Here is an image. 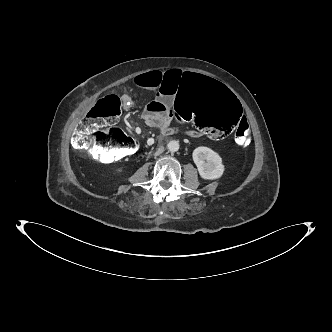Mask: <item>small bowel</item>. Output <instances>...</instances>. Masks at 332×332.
Masks as SVG:
<instances>
[{
  "label": "small bowel",
  "mask_w": 332,
  "mask_h": 332,
  "mask_svg": "<svg viewBox=\"0 0 332 332\" xmlns=\"http://www.w3.org/2000/svg\"><path fill=\"white\" fill-rule=\"evenodd\" d=\"M179 70L150 71L138 75L134 79L135 85L141 88L155 91V99L149 102L143 112V118L147 125L162 129L168 127L171 120V107L175 96L176 86L183 78ZM126 108H129L131 100L125 98ZM187 134L192 138L204 136L197 130H188Z\"/></svg>",
  "instance_id": "c3829d8e"
}]
</instances>
